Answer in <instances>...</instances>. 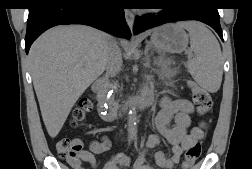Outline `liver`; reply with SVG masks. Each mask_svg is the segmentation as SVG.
Instances as JSON below:
<instances>
[{
	"instance_id": "6515ba94",
	"label": "liver",
	"mask_w": 252,
	"mask_h": 169,
	"mask_svg": "<svg viewBox=\"0 0 252 169\" xmlns=\"http://www.w3.org/2000/svg\"><path fill=\"white\" fill-rule=\"evenodd\" d=\"M110 35L85 25L56 26L31 46L29 67L41 115L51 138L72 107L106 68Z\"/></svg>"
}]
</instances>
